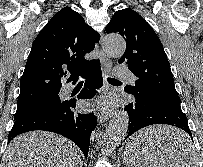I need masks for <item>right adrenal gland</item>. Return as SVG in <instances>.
<instances>
[{
    "mask_svg": "<svg viewBox=\"0 0 203 167\" xmlns=\"http://www.w3.org/2000/svg\"><path fill=\"white\" fill-rule=\"evenodd\" d=\"M79 167H83V163H82V162L80 163V166H79Z\"/></svg>",
    "mask_w": 203,
    "mask_h": 167,
    "instance_id": "2a0ac1e0",
    "label": "right adrenal gland"
}]
</instances>
